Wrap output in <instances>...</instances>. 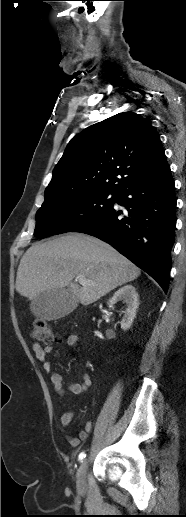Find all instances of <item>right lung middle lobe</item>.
Instances as JSON below:
<instances>
[{"mask_svg": "<svg viewBox=\"0 0 186 517\" xmlns=\"http://www.w3.org/2000/svg\"><path fill=\"white\" fill-rule=\"evenodd\" d=\"M99 191L79 192L45 201L36 213L34 235L45 238L84 225L90 220L109 211L118 194Z\"/></svg>", "mask_w": 186, "mask_h": 517, "instance_id": "obj_1", "label": "right lung middle lobe"}]
</instances>
